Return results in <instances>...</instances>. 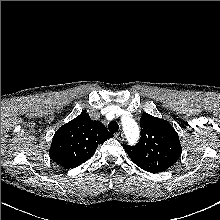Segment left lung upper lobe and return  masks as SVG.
<instances>
[{"label": "left lung upper lobe", "mask_w": 220, "mask_h": 220, "mask_svg": "<svg viewBox=\"0 0 220 220\" xmlns=\"http://www.w3.org/2000/svg\"><path fill=\"white\" fill-rule=\"evenodd\" d=\"M141 138L137 145H123L131 160L140 168L159 173L181 156V144L175 129L165 120L144 113L140 119Z\"/></svg>", "instance_id": "1"}]
</instances>
